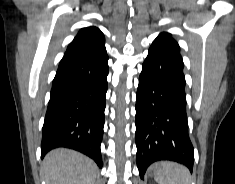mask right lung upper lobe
<instances>
[{"label":"right lung upper lobe","instance_id":"cb5924a9","mask_svg":"<svg viewBox=\"0 0 235 184\" xmlns=\"http://www.w3.org/2000/svg\"><path fill=\"white\" fill-rule=\"evenodd\" d=\"M106 54L103 33L97 27H86L69 44L64 57H98Z\"/></svg>","mask_w":235,"mask_h":184}]
</instances>
